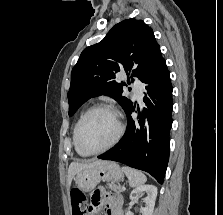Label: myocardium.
<instances>
[{
  "instance_id": "1",
  "label": "myocardium",
  "mask_w": 223,
  "mask_h": 215,
  "mask_svg": "<svg viewBox=\"0 0 223 215\" xmlns=\"http://www.w3.org/2000/svg\"><path fill=\"white\" fill-rule=\"evenodd\" d=\"M99 110H105V111H108L114 115V117L117 120V124H118L117 133H116L114 139L110 142V144H108L103 149L98 150V151H92V152L83 151L79 145V135H80L81 127L90 115H92L93 113H95L96 111H99ZM123 133H124V126L121 121L119 113L112 106H110L108 104L98 103V104L92 106L89 110H87L85 112V114L78 121L76 130H75L74 143H75L76 150L81 155H83V156H97L105 151L113 149L117 145V143L120 141V139L122 138Z\"/></svg>"
}]
</instances>
